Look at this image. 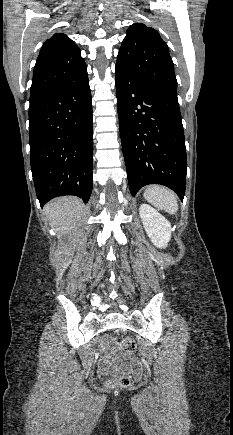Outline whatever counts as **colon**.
Returning a JSON list of instances; mask_svg holds the SVG:
<instances>
[{
    "mask_svg": "<svg viewBox=\"0 0 233 435\" xmlns=\"http://www.w3.org/2000/svg\"><path fill=\"white\" fill-rule=\"evenodd\" d=\"M112 347L120 354H131L135 351V342L130 337H124L119 341H113ZM132 376L128 373H121L116 376L109 377L106 380V385L111 388H125L130 385Z\"/></svg>",
    "mask_w": 233,
    "mask_h": 435,
    "instance_id": "5ec220e1",
    "label": "colon"
}]
</instances>
